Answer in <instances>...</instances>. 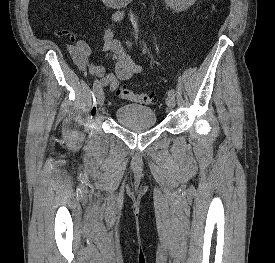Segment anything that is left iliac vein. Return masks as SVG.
I'll use <instances>...</instances> for the list:
<instances>
[{"instance_id": "obj_1", "label": "left iliac vein", "mask_w": 275, "mask_h": 263, "mask_svg": "<svg viewBox=\"0 0 275 263\" xmlns=\"http://www.w3.org/2000/svg\"><path fill=\"white\" fill-rule=\"evenodd\" d=\"M166 105L169 108H174L175 107V97L174 96H168L166 98Z\"/></svg>"}]
</instances>
